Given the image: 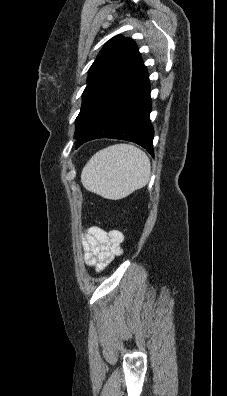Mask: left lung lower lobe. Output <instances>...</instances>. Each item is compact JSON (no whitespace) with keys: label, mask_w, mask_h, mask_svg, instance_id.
Instances as JSON below:
<instances>
[{"label":"left lung lower lobe","mask_w":227,"mask_h":396,"mask_svg":"<svg viewBox=\"0 0 227 396\" xmlns=\"http://www.w3.org/2000/svg\"><path fill=\"white\" fill-rule=\"evenodd\" d=\"M150 110V81L142 64L96 105L76 138V148L93 139L114 138L139 144L153 156Z\"/></svg>","instance_id":"0a47b994"}]
</instances>
